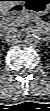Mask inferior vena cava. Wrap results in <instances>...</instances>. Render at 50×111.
<instances>
[{
  "mask_svg": "<svg viewBox=\"0 0 50 111\" xmlns=\"http://www.w3.org/2000/svg\"><path fill=\"white\" fill-rule=\"evenodd\" d=\"M20 35V32L18 30H7L6 32H4L2 34V37L5 41L9 42V41H13L16 38H18Z\"/></svg>",
  "mask_w": 50,
  "mask_h": 111,
  "instance_id": "602c4592",
  "label": "inferior vena cava"
}]
</instances>
